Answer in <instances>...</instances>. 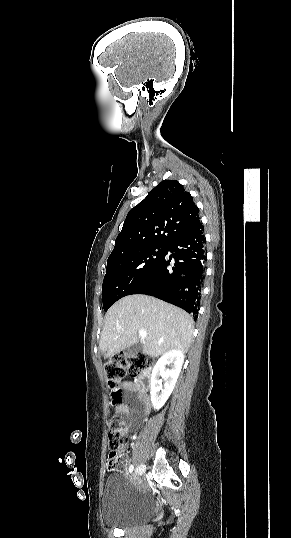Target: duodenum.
I'll return each mask as SVG.
<instances>
[{
  "instance_id": "obj_1",
  "label": "duodenum",
  "mask_w": 291,
  "mask_h": 538,
  "mask_svg": "<svg viewBox=\"0 0 291 538\" xmlns=\"http://www.w3.org/2000/svg\"><path fill=\"white\" fill-rule=\"evenodd\" d=\"M149 368H152V365H149ZM136 381H140V385L142 387L140 388V391L148 390L153 385L152 378L148 377L146 374L140 375V378H136Z\"/></svg>"
}]
</instances>
